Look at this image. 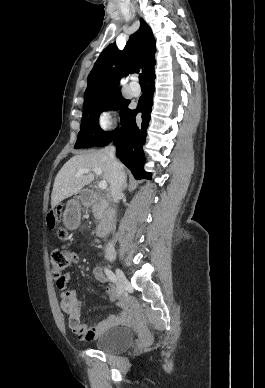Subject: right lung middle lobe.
<instances>
[{
    "instance_id": "right-lung-middle-lobe-1",
    "label": "right lung middle lobe",
    "mask_w": 265,
    "mask_h": 388,
    "mask_svg": "<svg viewBox=\"0 0 265 388\" xmlns=\"http://www.w3.org/2000/svg\"><path fill=\"white\" fill-rule=\"evenodd\" d=\"M129 103V100L122 97L120 89L103 91L84 99L82 123L74 148L105 146L112 142L119 130L104 132L99 126V115L110 108L122 109L120 112L122 126L130 112L127 108Z\"/></svg>"
}]
</instances>
